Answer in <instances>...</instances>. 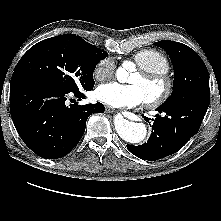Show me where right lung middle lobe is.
I'll return each instance as SVG.
<instances>
[{"label":"right lung middle lobe","instance_id":"1","mask_svg":"<svg viewBox=\"0 0 221 221\" xmlns=\"http://www.w3.org/2000/svg\"><path fill=\"white\" fill-rule=\"evenodd\" d=\"M108 53L80 36L64 34L32 46L20 59L13 74L30 75L68 91L94 87L93 72Z\"/></svg>","mask_w":221,"mask_h":221}]
</instances>
